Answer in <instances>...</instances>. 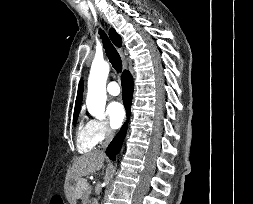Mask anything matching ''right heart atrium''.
<instances>
[{
    "instance_id": "1",
    "label": "right heart atrium",
    "mask_w": 253,
    "mask_h": 204,
    "mask_svg": "<svg viewBox=\"0 0 253 204\" xmlns=\"http://www.w3.org/2000/svg\"><path fill=\"white\" fill-rule=\"evenodd\" d=\"M90 131L96 144L104 143L113 135V131L102 120L92 119L89 121Z\"/></svg>"
}]
</instances>
